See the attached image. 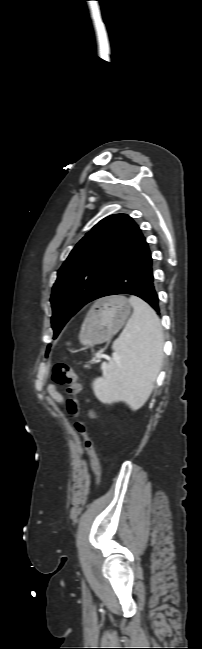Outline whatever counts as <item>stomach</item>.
<instances>
[{
  "label": "stomach",
  "mask_w": 202,
  "mask_h": 649,
  "mask_svg": "<svg viewBox=\"0 0 202 649\" xmlns=\"http://www.w3.org/2000/svg\"><path fill=\"white\" fill-rule=\"evenodd\" d=\"M131 304L124 296H113L96 302L81 328V342L93 346L105 342L128 320Z\"/></svg>",
  "instance_id": "stomach-1"
}]
</instances>
